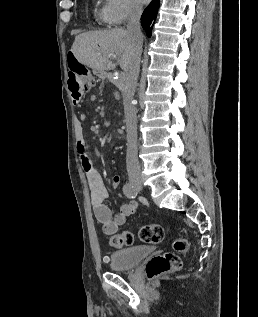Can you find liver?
I'll use <instances>...</instances> for the list:
<instances>
[{
	"label": "liver",
	"instance_id": "liver-1",
	"mask_svg": "<svg viewBox=\"0 0 258 317\" xmlns=\"http://www.w3.org/2000/svg\"><path fill=\"white\" fill-rule=\"evenodd\" d=\"M71 50L79 62L94 70L116 68L115 62L110 60L112 54H121L120 66L123 70H129L135 54L131 34L124 28L81 32L75 36Z\"/></svg>",
	"mask_w": 258,
	"mask_h": 317
}]
</instances>
